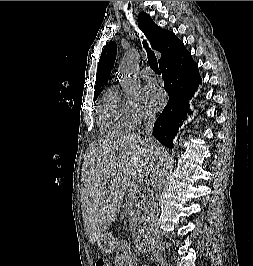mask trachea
Masks as SVG:
<instances>
[{
	"instance_id": "3493384b",
	"label": "trachea",
	"mask_w": 253,
	"mask_h": 266,
	"mask_svg": "<svg viewBox=\"0 0 253 266\" xmlns=\"http://www.w3.org/2000/svg\"><path fill=\"white\" fill-rule=\"evenodd\" d=\"M129 8H130V3H129ZM143 45L147 52L148 63L150 67L153 69L155 73L160 74V69L158 67V62H157L154 52L148 47L146 40L143 41Z\"/></svg>"
}]
</instances>
